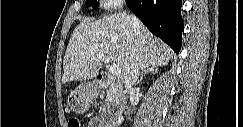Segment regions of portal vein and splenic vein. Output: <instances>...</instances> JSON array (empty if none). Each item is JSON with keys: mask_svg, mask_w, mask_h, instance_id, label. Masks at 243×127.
<instances>
[{"mask_svg": "<svg viewBox=\"0 0 243 127\" xmlns=\"http://www.w3.org/2000/svg\"><path fill=\"white\" fill-rule=\"evenodd\" d=\"M91 54H95L93 51H91ZM97 57L104 63H110V59L109 57H107L106 55L104 54H101V53H97ZM109 71L110 73L113 75V76H118L120 73H121V69L120 67L115 64V63H112L109 67Z\"/></svg>", "mask_w": 243, "mask_h": 127, "instance_id": "portal-vein-and-splenic-vein-1", "label": "portal vein and splenic vein"}]
</instances>
